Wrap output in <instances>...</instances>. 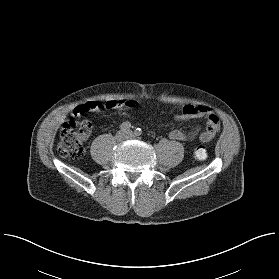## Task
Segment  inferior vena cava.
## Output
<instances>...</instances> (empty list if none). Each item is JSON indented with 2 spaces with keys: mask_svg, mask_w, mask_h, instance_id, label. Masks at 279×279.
Masks as SVG:
<instances>
[{
  "mask_svg": "<svg viewBox=\"0 0 279 279\" xmlns=\"http://www.w3.org/2000/svg\"><path fill=\"white\" fill-rule=\"evenodd\" d=\"M133 137V134L131 132H126L125 138L130 139Z\"/></svg>",
  "mask_w": 279,
  "mask_h": 279,
  "instance_id": "602c4592",
  "label": "inferior vena cava"
}]
</instances>
